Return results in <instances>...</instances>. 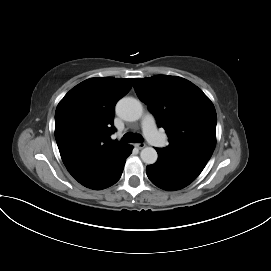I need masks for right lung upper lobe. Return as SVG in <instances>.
Instances as JSON below:
<instances>
[{
  "instance_id": "cb5924a9",
  "label": "right lung upper lobe",
  "mask_w": 271,
  "mask_h": 271,
  "mask_svg": "<svg viewBox=\"0 0 271 271\" xmlns=\"http://www.w3.org/2000/svg\"><path fill=\"white\" fill-rule=\"evenodd\" d=\"M133 79L90 78L71 89L55 112V139L63 163L81 184L97 177L127 146L110 141L114 107Z\"/></svg>"
}]
</instances>
